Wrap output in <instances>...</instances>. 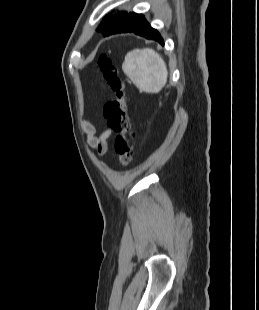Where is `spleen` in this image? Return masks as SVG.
I'll list each match as a JSON object with an SVG mask.
<instances>
[{
	"label": "spleen",
	"instance_id": "1",
	"mask_svg": "<svg viewBox=\"0 0 259 310\" xmlns=\"http://www.w3.org/2000/svg\"><path fill=\"white\" fill-rule=\"evenodd\" d=\"M122 69L136 87L145 93H159L167 82V66L163 58L150 48L128 52Z\"/></svg>",
	"mask_w": 259,
	"mask_h": 310
}]
</instances>
